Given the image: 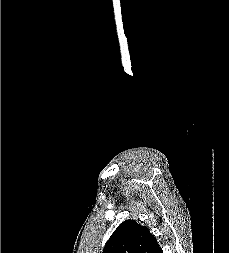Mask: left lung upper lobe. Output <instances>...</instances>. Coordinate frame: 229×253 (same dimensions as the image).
<instances>
[{
    "label": "left lung upper lobe",
    "instance_id": "obj_1",
    "mask_svg": "<svg viewBox=\"0 0 229 253\" xmlns=\"http://www.w3.org/2000/svg\"><path fill=\"white\" fill-rule=\"evenodd\" d=\"M158 248L157 240L147 227L126 220L113 232L103 253H156Z\"/></svg>",
    "mask_w": 229,
    "mask_h": 253
}]
</instances>
